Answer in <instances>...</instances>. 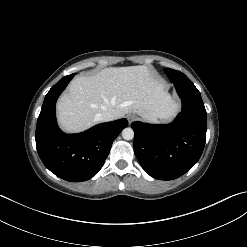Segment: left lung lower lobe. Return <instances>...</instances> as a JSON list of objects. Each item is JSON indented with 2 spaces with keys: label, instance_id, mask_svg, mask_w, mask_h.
Returning a JSON list of instances; mask_svg holds the SVG:
<instances>
[{
  "label": "left lung lower lobe",
  "instance_id": "1",
  "mask_svg": "<svg viewBox=\"0 0 247 247\" xmlns=\"http://www.w3.org/2000/svg\"><path fill=\"white\" fill-rule=\"evenodd\" d=\"M182 99V112L173 123L150 125L133 122L134 152L153 178L173 180L189 171L199 160L206 140L207 113L193 83H175Z\"/></svg>",
  "mask_w": 247,
  "mask_h": 247
}]
</instances>
